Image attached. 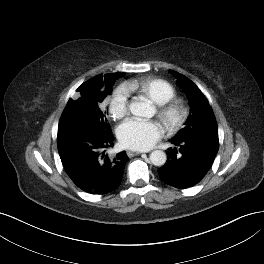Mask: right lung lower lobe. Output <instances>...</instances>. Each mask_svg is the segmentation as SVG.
<instances>
[{"label":"right lung lower lobe","instance_id":"right-lung-lower-lobe-1","mask_svg":"<svg viewBox=\"0 0 264 264\" xmlns=\"http://www.w3.org/2000/svg\"><path fill=\"white\" fill-rule=\"evenodd\" d=\"M113 140L112 132L101 133L94 128L57 139L63 167L81 190L106 194L120 185L128 158L124 151L108 154Z\"/></svg>","mask_w":264,"mask_h":264}]
</instances>
